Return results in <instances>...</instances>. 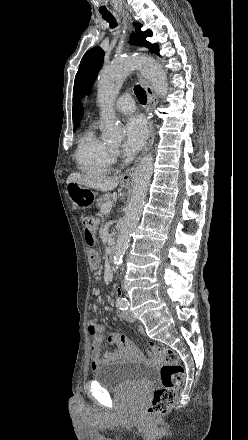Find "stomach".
<instances>
[{
	"instance_id": "stomach-1",
	"label": "stomach",
	"mask_w": 248,
	"mask_h": 440,
	"mask_svg": "<svg viewBox=\"0 0 248 440\" xmlns=\"http://www.w3.org/2000/svg\"><path fill=\"white\" fill-rule=\"evenodd\" d=\"M124 184L126 185L127 183ZM67 194L73 204L78 208L90 207L96 200V193L91 188L78 183L68 184Z\"/></svg>"
}]
</instances>
